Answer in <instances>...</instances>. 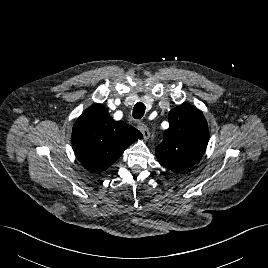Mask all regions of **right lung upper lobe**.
<instances>
[{
	"label": "right lung upper lobe",
	"mask_w": 268,
	"mask_h": 268,
	"mask_svg": "<svg viewBox=\"0 0 268 268\" xmlns=\"http://www.w3.org/2000/svg\"><path fill=\"white\" fill-rule=\"evenodd\" d=\"M142 137L136 128L123 121H115L103 105L96 103L87 108L76 121L71 143L80 163L100 173Z\"/></svg>",
	"instance_id": "right-lung-upper-lobe-1"
}]
</instances>
